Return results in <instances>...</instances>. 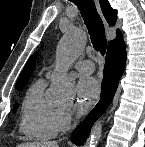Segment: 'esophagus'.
<instances>
[{"mask_svg":"<svg viewBox=\"0 0 145 147\" xmlns=\"http://www.w3.org/2000/svg\"><path fill=\"white\" fill-rule=\"evenodd\" d=\"M95 2H96L97 7L99 8L98 0H95ZM103 21H104V24L106 26V29H108L109 28V25H108L107 21L104 18H103Z\"/></svg>","mask_w":145,"mask_h":147,"instance_id":"1","label":"esophagus"}]
</instances>
